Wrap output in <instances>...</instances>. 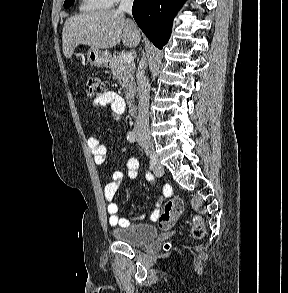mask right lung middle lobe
I'll return each instance as SVG.
<instances>
[{"mask_svg":"<svg viewBox=\"0 0 288 293\" xmlns=\"http://www.w3.org/2000/svg\"><path fill=\"white\" fill-rule=\"evenodd\" d=\"M74 3V0H65L64 7L67 8Z\"/></svg>","mask_w":288,"mask_h":293,"instance_id":"obj_1","label":"right lung middle lobe"}]
</instances>
